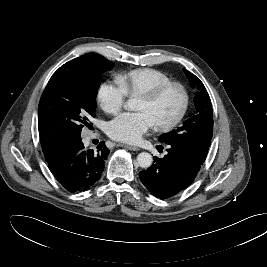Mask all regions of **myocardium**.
Returning <instances> with one entry per match:
<instances>
[{
	"mask_svg": "<svg viewBox=\"0 0 267 267\" xmlns=\"http://www.w3.org/2000/svg\"><path fill=\"white\" fill-rule=\"evenodd\" d=\"M171 88H178L181 90L183 94V104L182 107L179 111V113L176 115V117L171 120L168 123L165 124H160L154 126V130L156 132H168L173 129H175L184 119L188 108H189V102H190V97H189V92L187 88L180 82L176 81H170L167 83H164L162 85L157 86L156 88L150 90L147 93H144L137 97V99L145 101V102H154L157 100L165 91Z\"/></svg>",
	"mask_w": 267,
	"mask_h": 267,
	"instance_id": "myocardium-1",
	"label": "myocardium"
}]
</instances>
